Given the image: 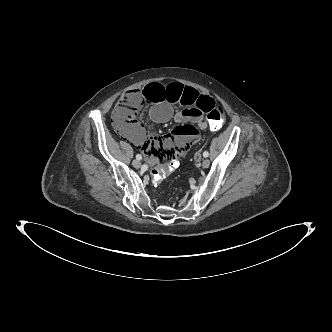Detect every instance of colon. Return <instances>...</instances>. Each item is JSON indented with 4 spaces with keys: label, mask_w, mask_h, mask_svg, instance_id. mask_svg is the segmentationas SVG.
<instances>
[{
    "label": "colon",
    "mask_w": 332,
    "mask_h": 332,
    "mask_svg": "<svg viewBox=\"0 0 332 332\" xmlns=\"http://www.w3.org/2000/svg\"><path fill=\"white\" fill-rule=\"evenodd\" d=\"M142 92L131 91L123 94L116 102L114 108V124L117 128L130 127L134 124L135 116L143 107L141 103ZM206 119L212 129H219L225 122V112L218 105H212L206 111ZM182 160V159H181ZM181 160L177 157H170L167 162H161L151 171L152 180L160 183L172 172L181 167Z\"/></svg>",
    "instance_id": "1"
}]
</instances>
